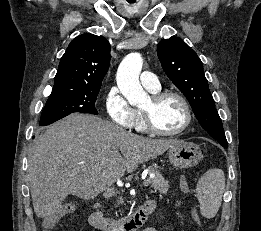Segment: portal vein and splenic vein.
I'll return each instance as SVG.
<instances>
[{
	"instance_id": "18ae733b",
	"label": "portal vein and splenic vein",
	"mask_w": 261,
	"mask_h": 231,
	"mask_svg": "<svg viewBox=\"0 0 261 231\" xmlns=\"http://www.w3.org/2000/svg\"><path fill=\"white\" fill-rule=\"evenodd\" d=\"M142 184H143V186H148L150 184V179L143 180Z\"/></svg>"
}]
</instances>
